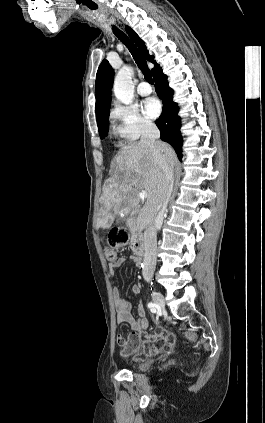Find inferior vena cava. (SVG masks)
<instances>
[{"instance_id":"1","label":"inferior vena cava","mask_w":265,"mask_h":423,"mask_svg":"<svg viewBox=\"0 0 265 423\" xmlns=\"http://www.w3.org/2000/svg\"><path fill=\"white\" fill-rule=\"evenodd\" d=\"M160 131L151 121H146L142 126L140 143L151 147L154 150L155 158L160 162L164 173V184L161 191V202L153 224L146 227L144 231V259L142 275L145 280H150L156 266L157 250V223L163 217L164 209L167 206L173 188V166L170 164L166 146L159 141Z\"/></svg>"}]
</instances>
